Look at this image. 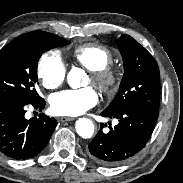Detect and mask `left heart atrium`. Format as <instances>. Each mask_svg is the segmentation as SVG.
Returning a JSON list of instances; mask_svg holds the SVG:
<instances>
[{
    "label": "left heart atrium",
    "instance_id": "1",
    "mask_svg": "<svg viewBox=\"0 0 183 183\" xmlns=\"http://www.w3.org/2000/svg\"><path fill=\"white\" fill-rule=\"evenodd\" d=\"M98 95L94 88L68 89L51 96L52 111L62 116H77L95 106Z\"/></svg>",
    "mask_w": 183,
    "mask_h": 183
}]
</instances>
